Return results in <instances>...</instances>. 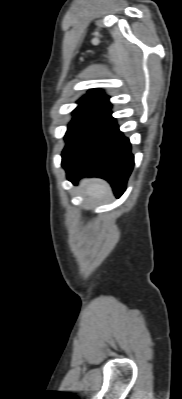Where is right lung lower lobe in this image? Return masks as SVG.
<instances>
[{"label":"right lung lower lobe","instance_id":"98d812e1","mask_svg":"<svg viewBox=\"0 0 182 399\" xmlns=\"http://www.w3.org/2000/svg\"><path fill=\"white\" fill-rule=\"evenodd\" d=\"M108 104L80 123L66 138L62 166L76 184L84 176L107 180L117 197L134 166L129 139L120 132Z\"/></svg>","mask_w":182,"mask_h":399}]
</instances>
